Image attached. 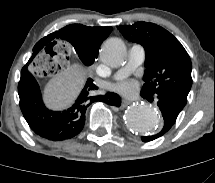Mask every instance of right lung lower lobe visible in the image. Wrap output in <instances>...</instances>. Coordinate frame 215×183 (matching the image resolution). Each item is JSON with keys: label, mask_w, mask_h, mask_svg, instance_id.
<instances>
[{"label": "right lung lower lobe", "mask_w": 215, "mask_h": 183, "mask_svg": "<svg viewBox=\"0 0 215 183\" xmlns=\"http://www.w3.org/2000/svg\"><path fill=\"white\" fill-rule=\"evenodd\" d=\"M34 57L33 54L21 70L18 93L23 116L37 135L53 141L70 139L83 129L86 110L93 102L101 101L117 107L121 105L120 96L116 93L93 95L98 87L89 78L72 107L62 112L47 109L39 85L27 69Z\"/></svg>", "instance_id": "right-lung-lower-lobe-1"}]
</instances>
